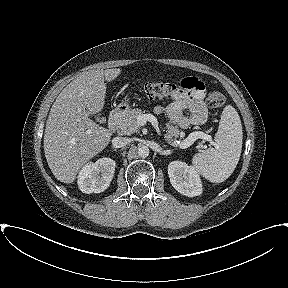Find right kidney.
Segmentation results:
<instances>
[{
    "label": "right kidney",
    "mask_w": 288,
    "mask_h": 288,
    "mask_svg": "<svg viewBox=\"0 0 288 288\" xmlns=\"http://www.w3.org/2000/svg\"><path fill=\"white\" fill-rule=\"evenodd\" d=\"M116 163L110 158H100L87 163L78 175V187L83 193H100L106 190L115 173Z\"/></svg>",
    "instance_id": "ca27d5eb"
}]
</instances>
